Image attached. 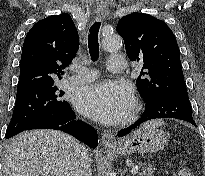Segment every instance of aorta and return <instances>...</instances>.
Wrapping results in <instances>:
<instances>
[{
    "instance_id": "aorta-1",
    "label": "aorta",
    "mask_w": 205,
    "mask_h": 176,
    "mask_svg": "<svg viewBox=\"0 0 205 176\" xmlns=\"http://www.w3.org/2000/svg\"><path fill=\"white\" fill-rule=\"evenodd\" d=\"M122 46V39L117 34L106 36L102 41V47L105 51H116Z\"/></svg>"
}]
</instances>
